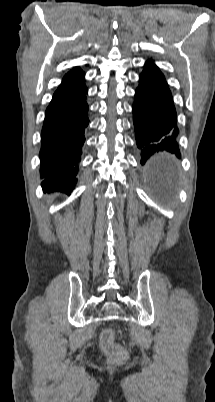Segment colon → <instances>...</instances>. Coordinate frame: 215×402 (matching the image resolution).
Instances as JSON below:
<instances>
[{
    "mask_svg": "<svg viewBox=\"0 0 215 402\" xmlns=\"http://www.w3.org/2000/svg\"><path fill=\"white\" fill-rule=\"evenodd\" d=\"M100 346L114 363H122L127 359V351L115 342V331L111 328L102 331Z\"/></svg>",
    "mask_w": 215,
    "mask_h": 402,
    "instance_id": "1",
    "label": "colon"
}]
</instances>
